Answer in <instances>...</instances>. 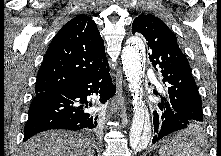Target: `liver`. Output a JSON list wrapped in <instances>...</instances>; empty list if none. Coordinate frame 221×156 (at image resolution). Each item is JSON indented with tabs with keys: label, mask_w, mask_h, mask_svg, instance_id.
Listing matches in <instances>:
<instances>
[{
	"label": "liver",
	"mask_w": 221,
	"mask_h": 156,
	"mask_svg": "<svg viewBox=\"0 0 221 156\" xmlns=\"http://www.w3.org/2000/svg\"><path fill=\"white\" fill-rule=\"evenodd\" d=\"M94 144L87 137L70 131H46L23 146L22 156H94Z\"/></svg>",
	"instance_id": "6515ba94"
}]
</instances>
